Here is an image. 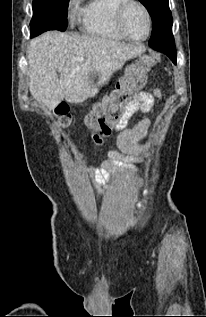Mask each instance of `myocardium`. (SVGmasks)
<instances>
[{
    "mask_svg": "<svg viewBox=\"0 0 206 317\" xmlns=\"http://www.w3.org/2000/svg\"><path fill=\"white\" fill-rule=\"evenodd\" d=\"M132 5H137L138 7H140L146 16L147 33L142 38L132 37L131 35H129L127 33V31L124 28L125 14H126L127 10L129 9V7ZM114 23H115V27H116L117 31L124 38L131 40V41H134V42H143V41L147 40L151 34V31H152V17H151L150 11L146 7V5L139 0H123V2L121 4H119L115 10Z\"/></svg>",
    "mask_w": 206,
    "mask_h": 317,
    "instance_id": "f54148a6",
    "label": "myocardium"
}]
</instances>
